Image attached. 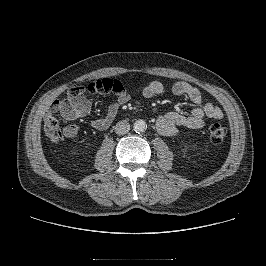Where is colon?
Here are the masks:
<instances>
[{"label": "colon", "mask_w": 266, "mask_h": 266, "mask_svg": "<svg viewBox=\"0 0 266 266\" xmlns=\"http://www.w3.org/2000/svg\"><path fill=\"white\" fill-rule=\"evenodd\" d=\"M124 90L122 83L112 78H102L92 82H88L82 85L73 87L69 94L76 97L80 94H96V93H116L119 94ZM44 125L47 132H54L59 128V120L56 111L49 109L44 118ZM227 134L226 128L220 123H212L209 126V138L212 144H221Z\"/></svg>", "instance_id": "5ec220e1"}]
</instances>
